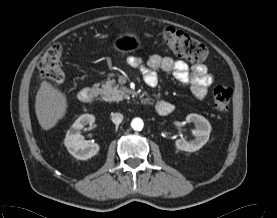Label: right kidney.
Masks as SVG:
<instances>
[{
	"instance_id": "obj_1",
	"label": "right kidney",
	"mask_w": 277,
	"mask_h": 218,
	"mask_svg": "<svg viewBox=\"0 0 277 218\" xmlns=\"http://www.w3.org/2000/svg\"><path fill=\"white\" fill-rule=\"evenodd\" d=\"M94 122V115L83 114L76 119L66 133L64 144L68 152L76 159L87 160L95 156L99 151V145L97 143L85 141L81 135V129L88 124L92 125Z\"/></svg>"
}]
</instances>
